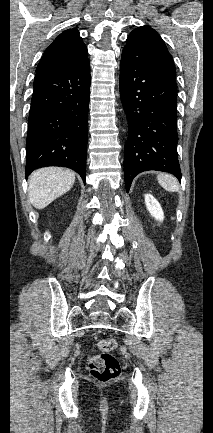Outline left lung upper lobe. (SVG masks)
Here are the masks:
<instances>
[{"instance_id": "obj_1", "label": "left lung upper lobe", "mask_w": 213, "mask_h": 433, "mask_svg": "<svg viewBox=\"0 0 213 433\" xmlns=\"http://www.w3.org/2000/svg\"><path fill=\"white\" fill-rule=\"evenodd\" d=\"M126 42L123 50L131 52L146 65L175 77L173 58L154 29L149 26L137 27L129 34Z\"/></svg>"}]
</instances>
